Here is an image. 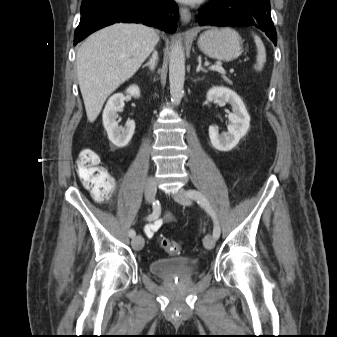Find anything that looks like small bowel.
Masks as SVG:
<instances>
[{
    "label": "small bowel",
    "instance_id": "small-bowel-1",
    "mask_svg": "<svg viewBox=\"0 0 337 337\" xmlns=\"http://www.w3.org/2000/svg\"><path fill=\"white\" fill-rule=\"evenodd\" d=\"M173 220L171 213H165L161 218L155 219V221L147 224L144 227V233L147 238H152L158 229L165 223H169Z\"/></svg>",
    "mask_w": 337,
    "mask_h": 337
}]
</instances>
